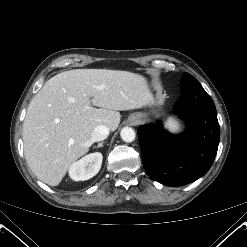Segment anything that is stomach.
Instances as JSON below:
<instances>
[{"label":"stomach","instance_id":"obj_1","mask_svg":"<svg viewBox=\"0 0 247 247\" xmlns=\"http://www.w3.org/2000/svg\"><path fill=\"white\" fill-rule=\"evenodd\" d=\"M134 115H137L139 118H140V117H144V116H145V114H144V113H134V114L130 115L129 120H130V119H131V117H132V116H134Z\"/></svg>","mask_w":247,"mask_h":247}]
</instances>
